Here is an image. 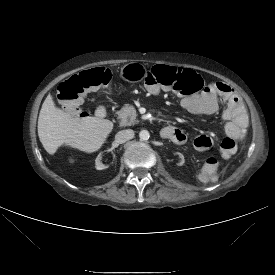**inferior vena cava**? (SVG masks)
<instances>
[{"mask_svg": "<svg viewBox=\"0 0 275 275\" xmlns=\"http://www.w3.org/2000/svg\"><path fill=\"white\" fill-rule=\"evenodd\" d=\"M134 137V131L131 129H125L119 131L115 135V141L119 144L125 143L126 141L132 139Z\"/></svg>", "mask_w": 275, "mask_h": 275, "instance_id": "inferior-vena-cava-1", "label": "inferior vena cava"}]
</instances>
